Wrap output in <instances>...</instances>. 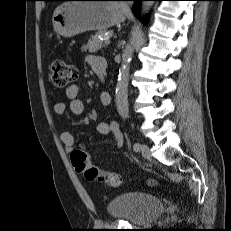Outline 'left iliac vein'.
Here are the masks:
<instances>
[{
    "label": "left iliac vein",
    "mask_w": 231,
    "mask_h": 231,
    "mask_svg": "<svg viewBox=\"0 0 231 231\" xmlns=\"http://www.w3.org/2000/svg\"><path fill=\"white\" fill-rule=\"evenodd\" d=\"M140 152L145 159L151 158L149 147L146 144L141 145Z\"/></svg>",
    "instance_id": "4c4485c4"
}]
</instances>
